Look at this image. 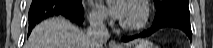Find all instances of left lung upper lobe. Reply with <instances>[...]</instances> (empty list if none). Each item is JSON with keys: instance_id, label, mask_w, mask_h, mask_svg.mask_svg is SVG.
Returning a JSON list of instances; mask_svg holds the SVG:
<instances>
[{"instance_id": "obj_1", "label": "left lung upper lobe", "mask_w": 213, "mask_h": 48, "mask_svg": "<svg viewBox=\"0 0 213 48\" xmlns=\"http://www.w3.org/2000/svg\"><path fill=\"white\" fill-rule=\"evenodd\" d=\"M156 15H160L167 10H177L189 13L188 0H154Z\"/></svg>"}]
</instances>
